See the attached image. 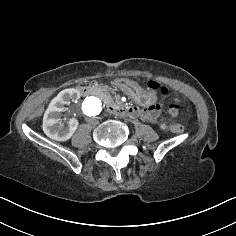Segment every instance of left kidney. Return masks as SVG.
<instances>
[{"mask_svg": "<svg viewBox=\"0 0 236 236\" xmlns=\"http://www.w3.org/2000/svg\"><path fill=\"white\" fill-rule=\"evenodd\" d=\"M157 127H158V129H159L161 132H164V133H166V134H169V133H170V128H169L168 124H166L165 122L160 121V122L157 124Z\"/></svg>", "mask_w": 236, "mask_h": 236, "instance_id": "obj_1", "label": "left kidney"}]
</instances>
